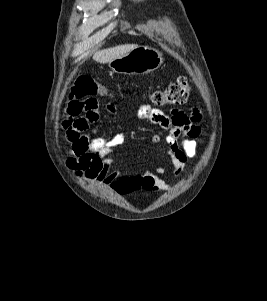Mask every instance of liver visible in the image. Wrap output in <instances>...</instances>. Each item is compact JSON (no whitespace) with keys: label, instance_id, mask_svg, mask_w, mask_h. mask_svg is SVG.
I'll use <instances>...</instances> for the list:
<instances>
[{"label":"liver","instance_id":"obj_1","mask_svg":"<svg viewBox=\"0 0 267 301\" xmlns=\"http://www.w3.org/2000/svg\"><path fill=\"white\" fill-rule=\"evenodd\" d=\"M137 47L138 45L136 44H126L100 50L93 55V59L101 64L109 63L110 61L125 55Z\"/></svg>","mask_w":267,"mask_h":301}]
</instances>
